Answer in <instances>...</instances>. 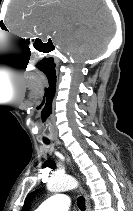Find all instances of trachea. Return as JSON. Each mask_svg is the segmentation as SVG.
<instances>
[{
	"label": "trachea",
	"instance_id": "trachea-1",
	"mask_svg": "<svg viewBox=\"0 0 133 211\" xmlns=\"http://www.w3.org/2000/svg\"><path fill=\"white\" fill-rule=\"evenodd\" d=\"M46 144H48L49 142H45ZM77 204H78V207L81 209V210H84L85 209V199L84 197L80 196L78 199H77Z\"/></svg>",
	"mask_w": 133,
	"mask_h": 211
}]
</instances>
